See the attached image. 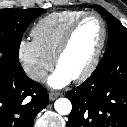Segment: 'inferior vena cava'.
Instances as JSON below:
<instances>
[{
  "instance_id": "inferior-vena-cava-1",
  "label": "inferior vena cava",
  "mask_w": 127,
  "mask_h": 127,
  "mask_svg": "<svg viewBox=\"0 0 127 127\" xmlns=\"http://www.w3.org/2000/svg\"><path fill=\"white\" fill-rule=\"evenodd\" d=\"M27 76L34 81H42L46 79L47 72L42 69H32L27 72Z\"/></svg>"
}]
</instances>
